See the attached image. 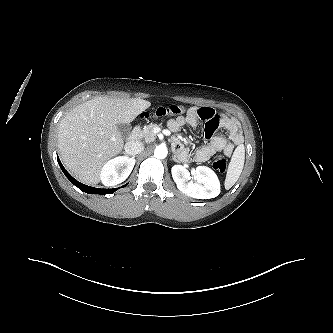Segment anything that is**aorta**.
Masks as SVG:
<instances>
[{
    "mask_svg": "<svg viewBox=\"0 0 333 333\" xmlns=\"http://www.w3.org/2000/svg\"><path fill=\"white\" fill-rule=\"evenodd\" d=\"M168 154V150H167V147L164 146V145H159L155 148V151H154V156L158 159H164L166 158Z\"/></svg>",
    "mask_w": 333,
    "mask_h": 333,
    "instance_id": "1",
    "label": "aorta"
}]
</instances>
